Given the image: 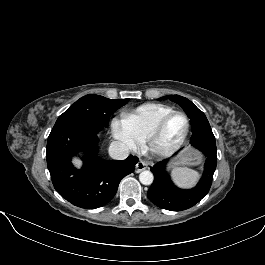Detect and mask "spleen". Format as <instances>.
Wrapping results in <instances>:
<instances>
[{
  "mask_svg": "<svg viewBox=\"0 0 265 265\" xmlns=\"http://www.w3.org/2000/svg\"><path fill=\"white\" fill-rule=\"evenodd\" d=\"M171 174L173 180L182 186L192 185L199 177L197 171L187 167H175Z\"/></svg>",
  "mask_w": 265,
  "mask_h": 265,
  "instance_id": "3e777b00",
  "label": "spleen"
}]
</instances>
